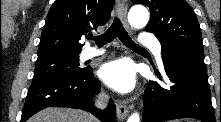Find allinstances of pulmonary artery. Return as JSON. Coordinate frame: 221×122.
Wrapping results in <instances>:
<instances>
[{"instance_id": "obj_1", "label": "pulmonary artery", "mask_w": 221, "mask_h": 122, "mask_svg": "<svg viewBox=\"0 0 221 122\" xmlns=\"http://www.w3.org/2000/svg\"><path fill=\"white\" fill-rule=\"evenodd\" d=\"M140 44L144 48H150L154 51L155 56L157 57L158 61L161 62V53L162 47L160 42L150 34H144L140 38ZM104 49H97L94 47H87L81 53L82 60H88L94 57H97L104 53Z\"/></svg>"}]
</instances>
